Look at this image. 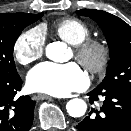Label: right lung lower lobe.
Masks as SVG:
<instances>
[{"label":"right lung lower lobe","instance_id":"obj_1","mask_svg":"<svg viewBox=\"0 0 131 131\" xmlns=\"http://www.w3.org/2000/svg\"><path fill=\"white\" fill-rule=\"evenodd\" d=\"M21 87L18 73L0 75V131H28L32 126L36 102L29 96L15 98Z\"/></svg>","mask_w":131,"mask_h":131}]
</instances>
